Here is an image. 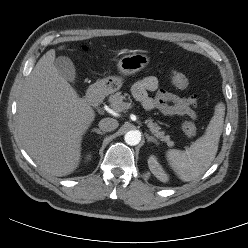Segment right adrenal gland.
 Wrapping results in <instances>:
<instances>
[{
    "instance_id": "obj_1",
    "label": "right adrenal gland",
    "mask_w": 248,
    "mask_h": 248,
    "mask_svg": "<svg viewBox=\"0 0 248 248\" xmlns=\"http://www.w3.org/2000/svg\"><path fill=\"white\" fill-rule=\"evenodd\" d=\"M92 131H93V132H96L97 134H100V135L105 134V132H102V131L99 130L98 128H94Z\"/></svg>"
}]
</instances>
